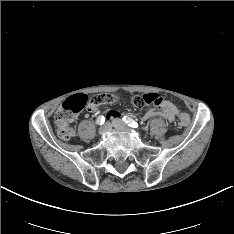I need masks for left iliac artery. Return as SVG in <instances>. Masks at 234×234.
<instances>
[{
    "label": "left iliac artery",
    "mask_w": 234,
    "mask_h": 234,
    "mask_svg": "<svg viewBox=\"0 0 234 234\" xmlns=\"http://www.w3.org/2000/svg\"><path fill=\"white\" fill-rule=\"evenodd\" d=\"M123 121L128 124V126L132 127V128H137L139 125L136 121H134L132 118L124 116L123 117Z\"/></svg>",
    "instance_id": "obj_1"
}]
</instances>
